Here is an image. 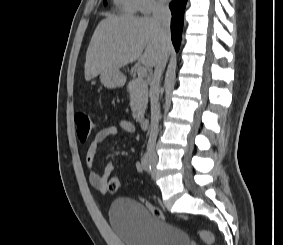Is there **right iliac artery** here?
<instances>
[{
    "instance_id": "obj_1",
    "label": "right iliac artery",
    "mask_w": 283,
    "mask_h": 245,
    "mask_svg": "<svg viewBox=\"0 0 283 245\" xmlns=\"http://www.w3.org/2000/svg\"><path fill=\"white\" fill-rule=\"evenodd\" d=\"M143 169L147 172H149L151 170V163H150V158H149V154L145 153L142 160H141Z\"/></svg>"
}]
</instances>
